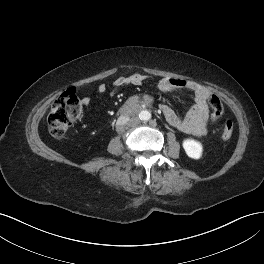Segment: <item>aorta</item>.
Listing matches in <instances>:
<instances>
[{
	"label": "aorta",
	"instance_id": "aorta-1",
	"mask_svg": "<svg viewBox=\"0 0 264 264\" xmlns=\"http://www.w3.org/2000/svg\"><path fill=\"white\" fill-rule=\"evenodd\" d=\"M136 118L141 121H148L151 118V113L148 110H142L138 113Z\"/></svg>",
	"mask_w": 264,
	"mask_h": 264
}]
</instances>
